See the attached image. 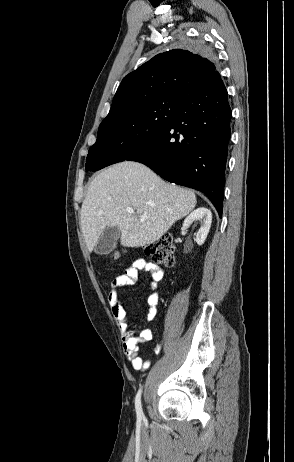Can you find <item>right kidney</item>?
<instances>
[{
	"label": "right kidney",
	"instance_id": "obj_1",
	"mask_svg": "<svg viewBox=\"0 0 294 462\" xmlns=\"http://www.w3.org/2000/svg\"><path fill=\"white\" fill-rule=\"evenodd\" d=\"M194 221H198L200 224V228L196 234L195 241L198 245H202L204 244L211 227V211L204 207L197 208L196 210L191 212L189 216H187V218L184 220L183 227L186 228Z\"/></svg>",
	"mask_w": 294,
	"mask_h": 462
}]
</instances>
